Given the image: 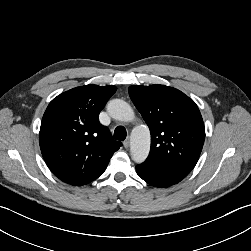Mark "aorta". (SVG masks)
<instances>
[{
	"instance_id": "762f6f07",
	"label": "aorta",
	"mask_w": 251,
	"mask_h": 251,
	"mask_svg": "<svg viewBox=\"0 0 251 251\" xmlns=\"http://www.w3.org/2000/svg\"><path fill=\"white\" fill-rule=\"evenodd\" d=\"M109 115L119 121H131L134 118V111L131 106L121 100L113 99L107 104ZM150 151V131L146 125L136 126L131 133L130 152L136 163L146 160Z\"/></svg>"
}]
</instances>
